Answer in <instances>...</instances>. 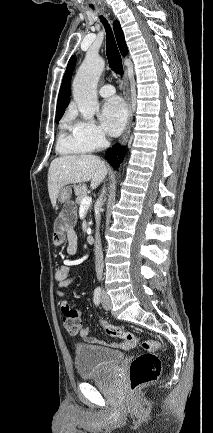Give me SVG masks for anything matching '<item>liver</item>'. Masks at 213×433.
Segmentation results:
<instances>
[{"mask_svg":"<svg viewBox=\"0 0 213 433\" xmlns=\"http://www.w3.org/2000/svg\"><path fill=\"white\" fill-rule=\"evenodd\" d=\"M108 168L98 156L91 154L65 155L55 158L48 171V192L53 206L61 188L68 184L90 181L91 189L105 179Z\"/></svg>","mask_w":213,"mask_h":433,"instance_id":"obj_1","label":"liver"}]
</instances>
